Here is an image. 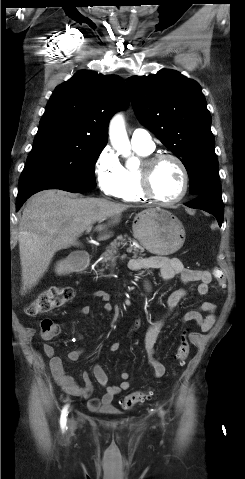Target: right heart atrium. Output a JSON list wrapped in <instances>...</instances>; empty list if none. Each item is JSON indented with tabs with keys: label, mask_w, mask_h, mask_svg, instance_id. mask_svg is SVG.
<instances>
[{
	"label": "right heart atrium",
	"mask_w": 245,
	"mask_h": 479,
	"mask_svg": "<svg viewBox=\"0 0 245 479\" xmlns=\"http://www.w3.org/2000/svg\"><path fill=\"white\" fill-rule=\"evenodd\" d=\"M95 174L102 194L117 197L122 183L123 167L110 148L104 149L100 154L95 165Z\"/></svg>",
	"instance_id": "right-heart-atrium-1"
}]
</instances>
